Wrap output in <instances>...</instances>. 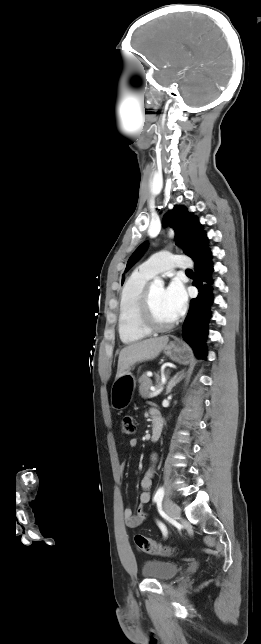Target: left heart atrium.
<instances>
[{
	"instance_id": "left-heart-atrium-1",
	"label": "left heart atrium",
	"mask_w": 261,
	"mask_h": 644,
	"mask_svg": "<svg viewBox=\"0 0 261 644\" xmlns=\"http://www.w3.org/2000/svg\"><path fill=\"white\" fill-rule=\"evenodd\" d=\"M163 294L164 301L172 317L174 320L177 319L184 313L187 304V297L183 286L178 281H172L164 289Z\"/></svg>"
}]
</instances>
